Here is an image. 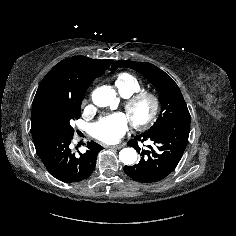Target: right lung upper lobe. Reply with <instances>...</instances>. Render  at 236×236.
Masks as SVG:
<instances>
[{"instance_id":"obj_1","label":"right lung upper lobe","mask_w":236,"mask_h":236,"mask_svg":"<svg viewBox=\"0 0 236 236\" xmlns=\"http://www.w3.org/2000/svg\"><path fill=\"white\" fill-rule=\"evenodd\" d=\"M112 60H95L73 56L56 64L43 78L32 105V120L49 101H76L83 99L91 82L103 74Z\"/></svg>"}]
</instances>
